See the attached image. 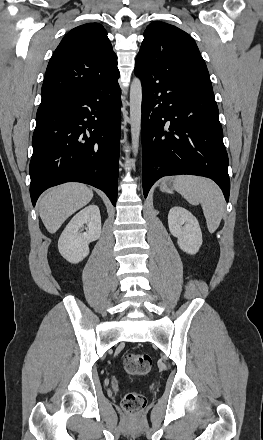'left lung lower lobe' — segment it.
<instances>
[{"instance_id":"left-lung-lower-lobe-1","label":"left lung lower lobe","mask_w":263,"mask_h":440,"mask_svg":"<svg viewBox=\"0 0 263 440\" xmlns=\"http://www.w3.org/2000/svg\"><path fill=\"white\" fill-rule=\"evenodd\" d=\"M141 78L143 192L161 177L211 178L229 200L228 155L213 90L171 70L135 66Z\"/></svg>"}]
</instances>
